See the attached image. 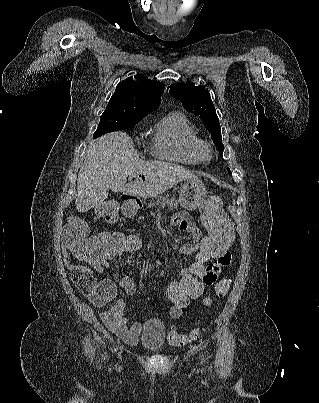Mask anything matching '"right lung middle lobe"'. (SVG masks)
Instances as JSON below:
<instances>
[{
	"label": "right lung middle lobe",
	"mask_w": 319,
	"mask_h": 403,
	"mask_svg": "<svg viewBox=\"0 0 319 403\" xmlns=\"http://www.w3.org/2000/svg\"><path fill=\"white\" fill-rule=\"evenodd\" d=\"M144 116L122 107H108L100 117L99 126L93 137H100L108 132L128 129L136 125Z\"/></svg>",
	"instance_id": "obj_1"
}]
</instances>
